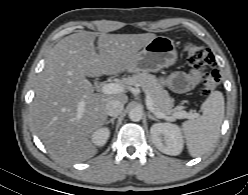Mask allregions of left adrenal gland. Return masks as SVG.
I'll return each instance as SVG.
<instances>
[{
    "mask_svg": "<svg viewBox=\"0 0 248 195\" xmlns=\"http://www.w3.org/2000/svg\"><path fill=\"white\" fill-rule=\"evenodd\" d=\"M148 118L151 120L159 121L156 117H154L150 112L148 113Z\"/></svg>",
    "mask_w": 248,
    "mask_h": 195,
    "instance_id": "obj_1",
    "label": "left adrenal gland"
}]
</instances>
